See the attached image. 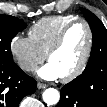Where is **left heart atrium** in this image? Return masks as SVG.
I'll return each instance as SVG.
<instances>
[{
  "mask_svg": "<svg viewBox=\"0 0 107 107\" xmlns=\"http://www.w3.org/2000/svg\"><path fill=\"white\" fill-rule=\"evenodd\" d=\"M37 74L39 77L45 80H56L61 77L60 72L55 67L54 64L51 62L42 66L38 71Z\"/></svg>",
  "mask_w": 107,
  "mask_h": 107,
  "instance_id": "1",
  "label": "left heart atrium"
}]
</instances>
